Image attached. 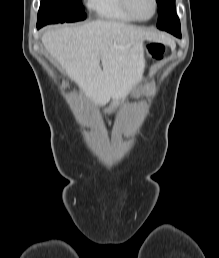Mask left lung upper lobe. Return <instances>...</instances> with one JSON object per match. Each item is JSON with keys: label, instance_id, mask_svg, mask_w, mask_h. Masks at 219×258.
<instances>
[{"label": "left lung upper lobe", "instance_id": "1", "mask_svg": "<svg viewBox=\"0 0 219 258\" xmlns=\"http://www.w3.org/2000/svg\"><path fill=\"white\" fill-rule=\"evenodd\" d=\"M156 1L158 4L157 27L161 30L180 28V21L175 9V0Z\"/></svg>", "mask_w": 219, "mask_h": 258}]
</instances>
